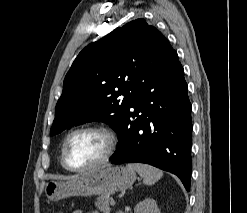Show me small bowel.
<instances>
[{
  "label": "small bowel",
  "mask_w": 247,
  "mask_h": 213,
  "mask_svg": "<svg viewBox=\"0 0 247 213\" xmlns=\"http://www.w3.org/2000/svg\"><path fill=\"white\" fill-rule=\"evenodd\" d=\"M73 213H83L82 211H80V210H75ZM91 213H98L97 211H93V212H91Z\"/></svg>",
  "instance_id": "obj_1"
}]
</instances>
